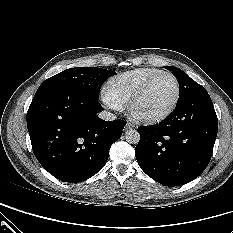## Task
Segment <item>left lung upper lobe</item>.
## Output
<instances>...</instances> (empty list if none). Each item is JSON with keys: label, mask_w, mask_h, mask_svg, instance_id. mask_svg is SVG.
<instances>
[{"label": "left lung upper lobe", "mask_w": 233, "mask_h": 233, "mask_svg": "<svg viewBox=\"0 0 233 233\" xmlns=\"http://www.w3.org/2000/svg\"><path fill=\"white\" fill-rule=\"evenodd\" d=\"M165 68L172 71L179 83V99L177 103H181L197 93L206 91L203 86L191 79L181 69L173 66H165Z\"/></svg>", "instance_id": "obj_1"}]
</instances>
